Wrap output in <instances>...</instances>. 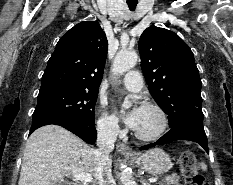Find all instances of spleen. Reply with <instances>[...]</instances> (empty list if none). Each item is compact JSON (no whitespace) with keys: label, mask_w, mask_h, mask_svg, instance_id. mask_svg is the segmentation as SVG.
<instances>
[{"label":"spleen","mask_w":233,"mask_h":185,"mask_svg":"<svg viewBox=\"0 0 233 185\" xmlns=\"http://www.w3.org/2000/svg\"><path fill=\"white\" fill-rule=\"evenodd\" d=\"M201 169L206 171L207 170V165L203 162L200 163Z\"/></svg>","instance_id":"obj_1"}]
</instances>
